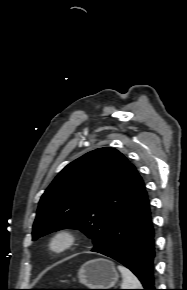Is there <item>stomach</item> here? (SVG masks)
I'll list each match as a JSON object with an SVG mask.
<instances>
[{"label": "stomach", "instance_id": "obj_1", "mask_svg": "<svg viewBox=\"0 0 187 290\" xmlns=\"http://www.w3.org/2000/svg\"><path fill=\"white\" fill-rule=\"evenodd\" d=\"M118 278L114 263L102 258L87 261L78 271L79 282L88 289H112Z\"/></svg>", "mask_w": 187, "mask_h": 290}]
</instances>
